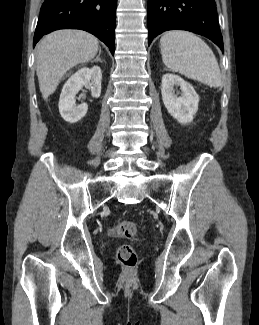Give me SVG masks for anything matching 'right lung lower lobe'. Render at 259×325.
<instances>
[{
  "mask_svg": "<svg viewBox=\"0 0 259 325\" xmlns=\"http://www.w3.org/2000/svg\"><path fill=\"white\" fill-rule=\"evenodd\" d=\"M117 0H45L38 19L33 46L58 29L88 31L103 41L114 55Z\"/></svg>",
  "mask_w": 259,
  "mask_h": 325,
  "instance_id": "98d812e1",
  "label": "right lung lower lobe"
}]
</instances>
